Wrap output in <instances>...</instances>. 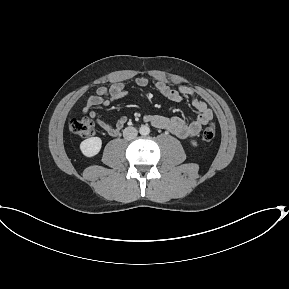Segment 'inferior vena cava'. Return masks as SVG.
Returning <instances> with one entry per match:
<instances>
[{
	"label": "inferior vena cava",
	"instance_id": "1",
	"mask_svg": "<svg viewBox=\"0 0 289 289\" xmlns=\"http://www.w3.org/2000/svg\"><path fill=\"white\" fill-rule=\"evenodd\" d=\"M138 131L134 127H127L123 130V137L127 140H132L136 138Z\"/></svg>",
	"mask_w": 289,
	"mask_h": 289
}]
</instances>
